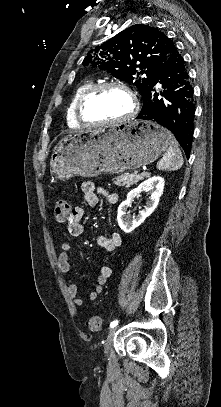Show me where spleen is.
Wrapping results in <instances>:
<instances>
[{"label":"spleen","instance_id":"spleen-1","mask_svg":"<svg viewBox=\"0 0 221 407\" xmlns=\"http://www.w3.org/2000/svg\"><path fill=\"white\" fill-rule=\"evenodd\" d=\"M182 165L183 157L179 145L174 138H171L167 151L157 163V168L159 170L175 171L180 169Z\"/></svg>","mask_w":221,"mask_h":407}]
</instances>
